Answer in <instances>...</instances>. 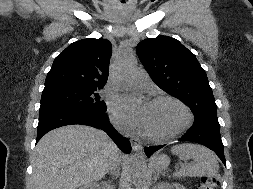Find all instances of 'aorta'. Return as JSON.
I'll list each match as a JSON object with an SVG mask.
<instances>
[{"instance_id": "1", "label": "aorta", "mask_w": 253, "mask_h": 189, "mask_svg": "<svg viewBox=\"0 0 253 189\" xmlns=\"http://www.w3.org/2000/svg\"><path fill=\"white\" fill-rule=\"evenodd\" d=\"M136 68V59L129 53H124L119 59L116 67V72L119 76L125 75ZM133 176L136 179H143L147 173V163L145 154L138 151L133 158L132 163Z\"/></svg>"}]
</instances>
